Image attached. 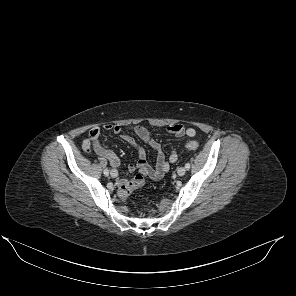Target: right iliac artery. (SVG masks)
<instances>
[{
	"instance_id": "right-iliac-artery-1",
	"label": "right iliac artery",
	"mask_w": 296,
	"mask_h": 296,
	"mask_svg": "<svg viewBox=\"0 0 296 296\" xmlns=\"http://www.w3.org/2000/svg\"><path fill=\"white\" fill-rule=\"evenodd\" d=\"M104 175H105V176H108V175H109V170H108V169H105V170H104Z\"/></svg>"
}]
</instances>
